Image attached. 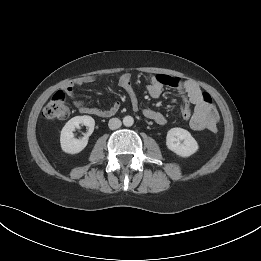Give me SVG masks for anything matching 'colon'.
Here are the masks:
<instances>
[{
	"label": "colon",
	"instance_id": "1",
	"mask_svg": "<svg viewBox=\"0 0 261 261\" xmlns=\"http://www.w3.org/2000/svg\"><path fill=\"white\" fill-rule=\"evenodd\" d=\"M205 98L212 101L208 94L205 95ZM69 113L65 95L62 91L56 92L43 109V116L46 119H65L69 116Z\"/></svg>",
	"mask_w": 261,
	"mask_h": 261
}]
</instances>
